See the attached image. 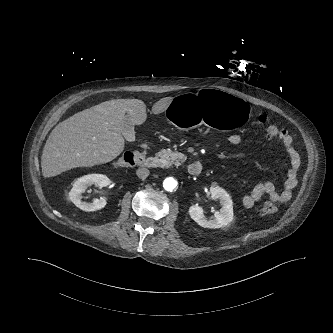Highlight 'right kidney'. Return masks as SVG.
<instances>
[{
  "instance_id": "ca27d5eb",
  "label": "right kidney",
  "mask_w": 333,
  "mask_h": 333,
  "mask_svg": "<svg viewBox=\"0 0 333 333\" xmlns=\"http://www.w3.org/2000/svg\"><path fill=\"white\" fill-rule=\"evenodd\" d=\"M110 179L103 174H88L78 178L69 192L70 200L81 210L86 212L102 209L106 205L104 198L96 199L93 203L83 202L82 193L91 185L106 187L110 185Z\"/></svg>"
}]
</instances>
